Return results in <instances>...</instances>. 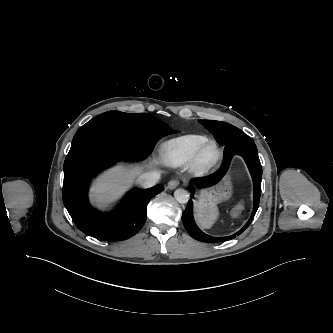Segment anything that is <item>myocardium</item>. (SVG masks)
I'll use <instances>...</instances> for the list:
<instances>
[{"label": "myocardium", "instance_id": "myocardium-1", "mask_svg": "<svg viewBox=\"0 0 333 333\" xmlns=\"http://www.w3.org/2000/svg\"><path fill=\"white\" fill-rule=\"evenodd\" d=\"M209 148H213L216 152V155L212 160L206 161L204 158V154L206 150ZM221 158H222V150L220 146L215 141L208 140L197 151L194 159L191 162V166L198 173H206L211 169H213L219 163Z\"/></svg>", "mask_w": 333, "mask_h": 333}]
</instances>
